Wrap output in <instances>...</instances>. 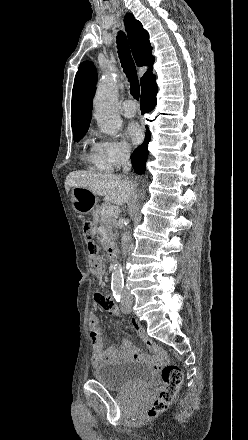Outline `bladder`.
Listing matches in <instances>:
<instances>
[{"mask_svg":"<svg viewBox=\"0 0 248 440\" xmlns=\"http://www.w3.org/2000/svg\"><path fill=\"white\" fill-rule=\"evenodd\" d=\"M93 376L108 390H146L153 383L155 373L140 361L121 359L100 365L94 370Z\"/></svg>","mask_w":248,"mask_h":440,"instance_id":"obj_1","label":"bladder"}]
</instances>
